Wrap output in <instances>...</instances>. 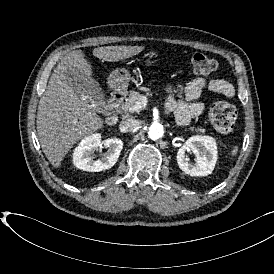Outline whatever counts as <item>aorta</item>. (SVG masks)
<instances>
[{
  "mask_svg": "<svg viewBox=\"0 0 274 274\" xmlns=\"http://www.w3.org/2000/svg\"><path fill=\"white\" fill-rule=\"evenodd\" d=\"M163 134H164V127L159 122H153L148 128V136L152 140H157L161 138Z\"/></svg>",
  "mask_w": 274,
  "mask_h": 274,
  "instance_id": "obj_1",
  "label": "aorta"
}]
</instances>
